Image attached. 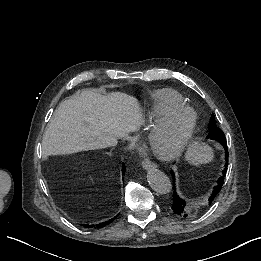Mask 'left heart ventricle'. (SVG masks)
<instances>
[{"instance_id": "left-heart-ventricle-1", "label": "left heart ventricle", "mask_w": 261, "mask_h": 261, "mask_svg": "<svg viewBox=\"0 0 261 261\" xmlns=\"http://www.w3.org/2000/svg\"><path fill=\"white\" fill-rule=\"evenodd\" d=\"M188 116L184 113H175L157 125H155L148 136L149 148L157 153H167L175 150L181 144Z\"/></svg>"}]
</instances>
